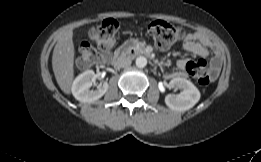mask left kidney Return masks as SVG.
<instances>
[{
  "label": "left kidney",
  "mask_w": 261,
  "mask_h": 162,
  "mask_svg": "<svg viewBox=\"0 0 261 162\" xmlns=\"http://www.w3.org/2000/svg\"><path fill=\"white\" fill-rule=\"evenodd\" d=\"M170 85L181 92L177 95H167L166 105L173 111L183 112L192 108L200 99V92L197 87L189 80L176 77L170 81Z\"/></svg>",
  "instance_id": "1"
}]
</instances>
